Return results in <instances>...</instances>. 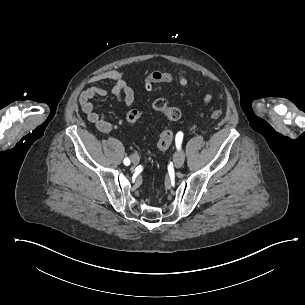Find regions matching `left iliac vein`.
I'll list each match as a JSON object with an SVG mask.
<instances>
[{
	"label": "left iliac vein",
	"mask_w": 305,
	"mask_h": 305,
	"mask_svg": "<svg viewBox=\"0 0 305 305\" xmlns=\"http://www.w3.org/2000/svg\"><path fill=\"white\" fill-rule=\"evenodd\" d=\"M184 152L182 150H179L175 153L174 155V164L177 168L182 167L183 163H184Z\"/></svg>",
	"instance_id": "4c4485c4"
}]
</instances>
